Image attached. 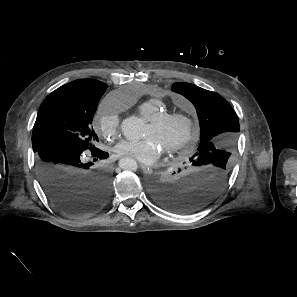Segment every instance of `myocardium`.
Listing matches in <instances>:
<instances>
[{
	"mask_svg": "<svg viewBox=\"0 0 297 297\" xmlns=\"http://www.w3.org/2000/svg\"><path fill=\"white\" fill-rule=\"evenodd\" d=\"M150 124L156 128L160 129L166 126L168 123L172 122H183L186 125V131L183 137L177 142L170 144L166 147L167 153H178L186 149L195 138V125L190 116L184 113H162L153 119H151Z\"/></svg>",
	"mask_w": 297,
	"mask_h": 297,
	"instance_id": "f54148a6",
	"label": "myocardium"
}]
</instances>
